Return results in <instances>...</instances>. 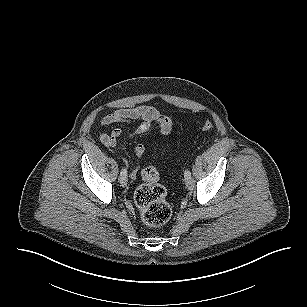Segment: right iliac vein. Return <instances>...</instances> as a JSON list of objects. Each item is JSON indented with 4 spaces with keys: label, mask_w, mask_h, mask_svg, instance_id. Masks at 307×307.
I'll list each match as a JSON object with an SVG mask.
<instances>
[{
    "label": "right iliac vein",
    "mask_w": 307,
    "mask_h": 307,
    "mask_svg": "<svg viewBox=\"0 0 307 307\" xmlns=\"http://www.w3.org/2000/svg\"><path fill=\"white\" fill-rule=\"evenodd\" d=\"M119 181L123 186L127 185V182H128L127 175H120Z\"/></svg>",
    "instance_id": "63e3f726"
}]
</instances>
